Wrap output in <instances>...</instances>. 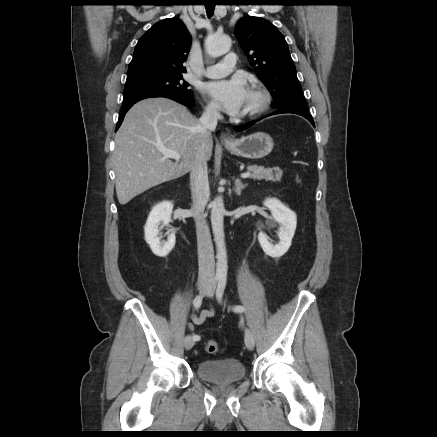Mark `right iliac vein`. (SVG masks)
Listing matches in <instances>:
<instances>
[{"instance_id": "63e3f726", "label": "right iliac vein", "mask_w": 437, "mask_h": 437, "mask_svg": "<svg viewBox=\"0 0 437 437\" xmlns=\"http://www.w3.org/2000/svg\"><path fill=\"white\" fill-rule=\"evenodd\" d=\"M208 284L207 283H201L199 285V290L200 293L205 294L208 291ZM195 341L193 339V337L191 335H187L184 339V346L186 350H190L193 345H194Z\"/></svg>"}]
</instances>
